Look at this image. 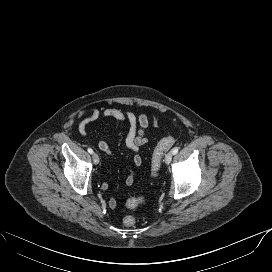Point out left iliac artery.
I'll list each match as a JSON object with an SVG mask.
<instances>
[{"instance_id": "44dca946", "label": "left iliac artery", "mask_w": 272, "mask_h": 272, "mask_svg": "<svg viewBox=\"0 0 272 272\" xmlns=\"http://www.w3.org/2000/svg\"><path fill=\"white\" fill-rule=\"evenodd\" d=\"M178 151H179V149H178V148H174V149H172V154H173V155H175V154H177V153H178Z\"/></svg>"}]
</instances>
